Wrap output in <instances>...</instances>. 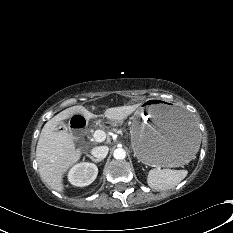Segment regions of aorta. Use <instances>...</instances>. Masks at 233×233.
Listing matches in <instances>:
<instances>
[{"mask_svg":"<svg viewBox=\"0 0 233 233\" xmlns=\"http://www.w3.org/2000/svg\"><path fill=\"white\" fill-rule=\"evenodd\" d=\"M113 156L115 159H124L126 157V152L122 148H117L114 150Z\"/></svg>","mask_w":233,"mask_h":233,"instance_id":"aorta-1","label":"aorta"}]
</instances>
